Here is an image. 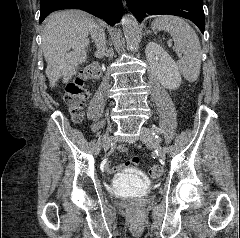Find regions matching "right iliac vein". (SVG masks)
Listing matches in <instances>:
<instances>
[{
	"instance_id": "63e3f726",
	"label": "right iliac vein",
	"mask_w": 240,
	"mask_h": 238,
	"mask_svg": "<svg viewBox=\"0 0 240 238\" xmlns=\"http://www.w3.org/2000/svg\"><path fill=\"white\" fill-rule=\"evenodd\" d=\"M110 141H111V137L109 135H105L103 138V148L105 151L109 149Z\"/></svg>"
}]
</instances>
